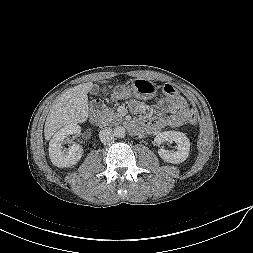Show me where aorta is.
Returning <instances> with one entry per match:
<instances>
[{"mask_svg":"<svg viewBox=\"0 0 253 253\" xmlns=\"http://www.w3.org/2000/svg\"><path fill=\"white\" fill-rule=\"evenodd\" d=\"M113 133H114V136L117 137V138H124L125 135H126V130L122 126H117L114 129Z\"/></svg>","mask_w":253,"mask_h":253,"instance_id":"1","label":"aorta"}]
</instances>
